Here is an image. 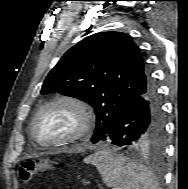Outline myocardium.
Returning <instances> with one entry per match:
<instances>
[{"mask_svg": "<svg viewBox=\"0 0 188 189\" xmlns=\"http://www.w3.org/2000/svg\"><path fill=\"white\" fill-rule=\"evenodd\" d=\"M57 106L72 108L78 116V126L69 136L53 141H41L36 135V124L40 116L48 109ZM94 115L90 106L82 99L73 95H59L45 102L35 113L30 127L33 140L42 147L63 146L78 141L89 134L93 127Z\"/></svg>", "mask_w": 188, "mask_h": 189, "instance_id": "1", "label": "myocardium"}]
</instances>
